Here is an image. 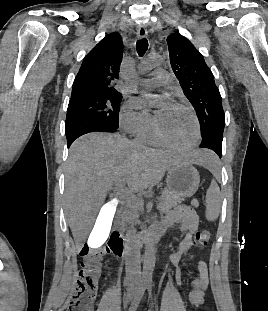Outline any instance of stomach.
Wrapping results in <instances>:
<instances>
[{"mask_svg":"<svg viewBox=\"0 0 268 311\" xmlns=\"http://www.w3.org/2000/svg\"><path fill=\"white\" fill-rule=\"evenodd\" d=\"M166 184L169 191L179 197H191L198 190L200 175L188 161L170 166L167 170Z\"/></svg>","mask_w":268,"mask_h":311,"instance_id":"obj_1","label":"stomach"}]
</instances>
